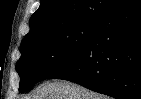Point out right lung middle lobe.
I'll return each instance as SVG.
<instances>
[{"label":"right lung middle lobe","instance_id":"right-lung-middle-lobe-1","mask_svg":"<svg viewBox=\"0 0 141 99\" xmlns=\"http://www.w3.org/2000/svg\"><path fill=\"white\" fill-rule=\"evenodd\" d=\"M99 21H80L22 42L16 64L21 93L47 79L70 62L91 40Z\"/></svg>","mask_w":141,"mask_h":99}]
</instances>
